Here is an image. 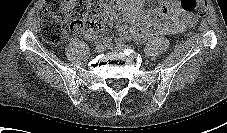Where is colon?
Returning a JSON list of instances; mask_svg holds the SVG:
<instances>
[{
	"mask_svg": "<svg viewBox=\"0 0 227 133\" xmlns=\"http://www.w3.org/2000/svg\"><path fill=\"white\" fill-rule=\"evenodd\" d=\"M206 5V0H180L187 12L203 14ZM118 12L109 0H48L38 14L40 32L48 42L60 43L69 31L105 29Z\"/></svg>",
	"mask_w": 227,
	"mask_h": 133,
	"instance_id": "obj_1",
	"label": "colon"
}]
</instances>
